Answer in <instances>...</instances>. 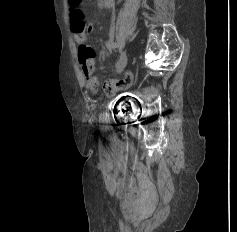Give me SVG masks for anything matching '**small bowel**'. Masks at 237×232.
<instances>
[{
	"label": "small bowel",
	"instance_id": "small-bowel-1",
	"mask_svg": "<svg viewBox=\"0 0 237 232\" xmlns=\"http://www.w3.org/2000/svg\"><path fill=\"white\" fill-rule=\"evenodd\" d=\"M74 39L78 46V56L79 62L82 67V72L85 78L86 86L88 90L92 93H95L98 88V79L94 71V59L95 51L94 49L87 44L86 34L84 33H75ZM112 43H108L107 47L112 49ZM131 82V74L127 73L120 79L108 80L105 83V91L109 94H113L116 91L127 87Z\"/></svg>",
	"mask_w": 237,
	"mask_h": 232
}]
</instances>
